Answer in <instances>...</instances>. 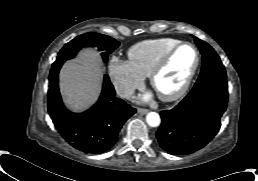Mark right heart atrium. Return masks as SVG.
<instances>
[{
	"label": "right heart atrium",
	"instance_id": "1",
	"mask_svg": "<svg viewBox=\"0 0 258 181\" xmlns=\"http://www.w3.org/2000/svg\"><path fill=\"white\" fill-rule=\"evenodd\" d=\"M108 73L116 92L123 98L130 97L141 87L144 78L135 72L128 61L111 58L108 64Z\"/></svg>",
	"mask_w": 258,
	"mask_h": 181
}]
</instances>
